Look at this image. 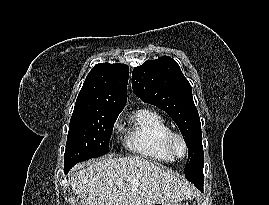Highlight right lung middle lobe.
I'll use <instances>...</instances> for the list:
<instances>
[{
	"instance_id": "right-lung-middle-lobe-1",
	"label": "right lung middle lobe",
	"mask_w": 269,
	"mask_h": 205,
	"mask_svg": "<svg viewBox=\"0 0 269 205\" xmlns=\"http://www.w3.org/2000/svg\"><path fill=\"white\" fill-rule=\"evenodd\" d=\"M118 114H92L73 111L67 136L64 170L97 158L109 151V141Z\"/></svg>"
}]
</instances>
